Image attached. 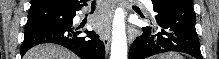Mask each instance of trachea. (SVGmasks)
Masks as SVG:
<instances>
[{
  "label": "trachea",
  "instance_id": "1",
  "mask_svg": "<svg viewBox=\"0 0 219 59\" xmlns=\"http://www.w3.org/2000/svg\"><path fill=\"white\" fill-rule=\"evenodd\" d=\"M95 3H96V2H92V8H94Z\"/></svg>",
  "mask_w": 219,
  "mask_h": 59
}]
</instances>
